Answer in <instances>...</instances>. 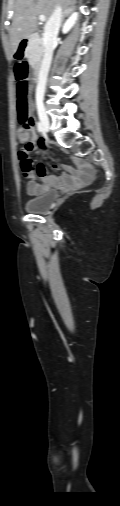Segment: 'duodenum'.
<instances>
[{
	"label": "duodenum",
	"mask_w": 120,
	"mask_h": 506,
	"mask_svg": "<svg viewBox=\"0 0 120 506\" xmlns=\"http://www.w3.org/2000/svg\"><path fill=\"white\" fill-rule=\"evenodd\" d=\"M34 38V35H31V36H26L24 37L21 42H20V45L17 46V51H16V56L18 58H25L27 56V49L26 47L28 46V44L30 43V41ZM41 62L40 61H37L33 64V68H34V73H35V79L37 80L39 77H40V74H41Z\"/></svg>",
	"instance_id": "410a0bca"
}]
</instances>
